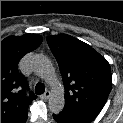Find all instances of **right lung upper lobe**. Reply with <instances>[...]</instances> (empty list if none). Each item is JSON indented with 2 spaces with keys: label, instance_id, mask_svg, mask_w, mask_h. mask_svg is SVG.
<instances>
[{
  "label": "right lung upper lobe",
  "instance_id": "1",
  "mask_svg": "<svg viewBox=\"0 0 123 123\" xmlns=\"http://www.w3.org/2000/svg\"><path fill=\"white\" fill-rule=\"evenodd\" d=\"M42 42L38 34L9 36L1 41V123H25L28 106L36 98L26 94V83L17 64Z\"/></svg>",
  "mask_w": 123,
  "mask_h": 123
}]
</instances>
